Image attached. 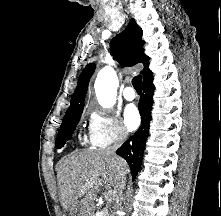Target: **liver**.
<instances>
[{"label":"liver","mask_w":221,"mask_h":216,"mask_svg":"<svg viewBox=\"0 0 221 216\" xmlns=\"http://www.w3.org/2000/svg\"><path fill=\"white\" fill-rule=\"evenodd\" d=\"M127 173L126 161L118 157ZM116 160L105 150L76 151L57 165L59 198L71 216H95V200L100 187L115 192L118 183ZM116 195V194H115Z\"/></svg>","instance_id":"liver-1"}]
</instances>
